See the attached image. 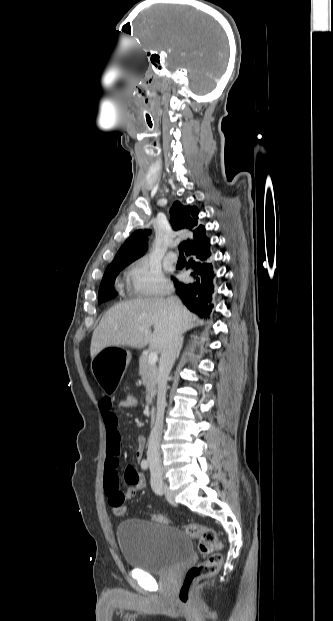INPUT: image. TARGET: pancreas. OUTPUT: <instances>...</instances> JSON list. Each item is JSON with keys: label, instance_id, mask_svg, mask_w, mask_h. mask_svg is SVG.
Returning <instances> with one entry per match:
<instances>
[{"label": "pancreas", "instance_id": "obj_1", "mask_svg": "<svg viewBox=\"0 0 333 621\" xmlns=\"http://www.w3.org/2000/svg\"><path fill=\"white\" fill-rule=\"evenodd\" d=\"M139 375L142 377L143 384L146 385V401L151 402L156 394L158 370L155 364H149L148 356L139 358Z\"/></svg>", "mask_w": 333, "mask_h": 621}]
</instances>
